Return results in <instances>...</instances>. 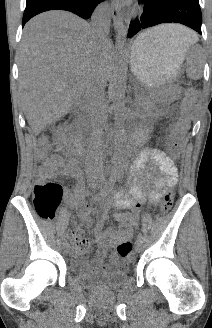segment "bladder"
<instances>
[{"label":"bladder","instance_id":"bladder-1","mask_svg":"<svg viewBox=\"0 0 212 328\" xmlns=\"http://www.w3.org/2000/svg\"><path fill=\"white\" fill-rule=\"evenodd\" d=\"M70 271L73 278L83 287L93 290H111L120 287L128 279L125 271H114L107 274H95L88 268L85 257H73L70 262Z\"/></svg>","mask_w":212,"mask_h":328}]
</instances>
